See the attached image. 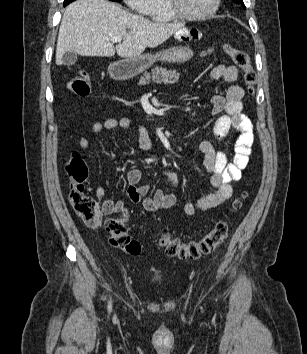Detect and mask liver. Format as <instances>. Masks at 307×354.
Instances as JSON below:
<instances>
[{"label":"liver","mask_w":307,"mask_h":354,"mask_svg":"<svg viewBox=\"0 0 307 354\" xmlns=\"http://www.w3.org/2000/svg\"><path fill=\"white\" fill-rule=\"evenodd\" d=\"M184 27L183 23H154L125 11L108 0H76L62 17L56 46V64L66 52L81 56L132 58L154 48ZM112 36L123 42L116 45Z\"/></svg>","instance_id":"1"}]
</instances>
